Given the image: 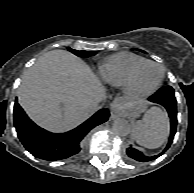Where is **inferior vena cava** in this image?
I'll use <instances>...</instances> for the list:
<instances>
[{
	"mask_svg": "<svg viewBox=\"0 0 194 193\" xmlns=\"http://www.w3.org/2000/svg\"><path fill=\"white\" fill-rule=\"evenodd\" d=\"M99 103H100L99 100L92 101V102L89 103V108H90L91 110L95 111V110L98 109Z\"/></svg>",
	"mask_w": 194,
	"mask_h": 193,
	"instance_id": "inferior-vena-cava-1",
	"label": "inferior vena cava"
}]
</instances>
